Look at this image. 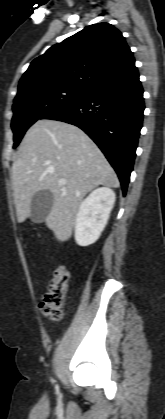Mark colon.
I'll use <instances>...</instances> for the list:
<instances>
[{
	"label": "colon",
	"instance_id": "1",
	"mask_svg": "<svg viewBox=\"0 0 165 419\" xmlns=\"http://www.w3.org/2000/svg\"><path fill=\"white\" fill-rule=\"evenodd\" d=\"M69 285V272L64 266L54 270L46 293L40 303L43 315L51 320L58 321L63 315V305L66 299Z\"/></svg>",
	"mask_w": 165,
	"mask_h": 419
}]
</instances>
